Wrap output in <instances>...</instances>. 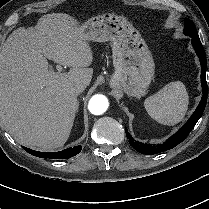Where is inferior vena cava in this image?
Instances as JSON below:
<instances>
[{
	"instance_id": "inferior-vena-cava-1",
	"label": "inferior vena cava",
	"mask_w": 209,
	"mask_h": 209,
	"mask_svg": "<svg viewBox=\"0 0 209 209\" xmlns=\"http://www.w3.org/2000/svg\"><path fill=\"white\" fill-rule=\"evenodd\" d=\"M87 85L83 82H80L78 84H76L75 86V91L77 94H81L85 89H86Z\"/></svg>"
}]
</instances>
